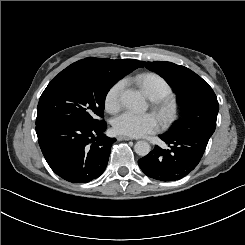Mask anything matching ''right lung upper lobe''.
Returning <instances> with one entry per match:
<instances>
[{
	"instance_id": "obj_1",
	"label": "right lung upper lobe",
	"mask_w": 245,
	"mask_h": 245,
	"mask_svg": "<svg viewBox=\"0 0 245 245\" xmlns=\"http://www.w3.org/2000/svg\"><path fill=\"white\" fill-rule=\"evenodd\" d=\"M75 65H85L93 68H101L113 71L117 74L127 75L134 69L143 66V64L134 59L111 60L107 58L88 57L73 63Z\"/></svg>"
}]
</instances>
